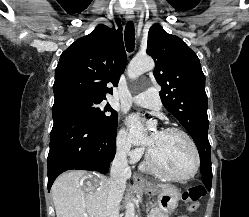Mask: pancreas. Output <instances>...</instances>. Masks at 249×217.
I'll use <instances>...</instances> for the list:
<instances>
[{
	"mask_svg": "<svg viewBox=\"0 0 249 217\" xmlns=\"http://www.w3.org/2000/svg\"><path fill=\"white\" fill-rule=\"evenodd\" d=\"M147 217H169L167 214H164L159 208H153Z\"/></svg>",
	"mask_w": 249,
	"mask_h": 217,
	"instance_id": "cf45deb5",
	"label": "pancreas"
}]
</instances>
